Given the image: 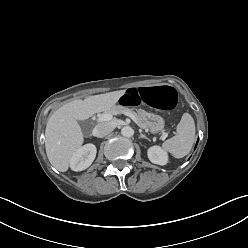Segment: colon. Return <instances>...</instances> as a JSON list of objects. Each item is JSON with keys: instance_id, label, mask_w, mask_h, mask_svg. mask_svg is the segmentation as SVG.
Returning <instances> with one entry per match:
<instances>
[{"instance_id": "colon-1", "label": "colon", "mask_w": 248, "mask_h": 248, "mask_svg": "<svg viewBox=\"0 0 248 248\" xmlns=\"http://www.w3.org/2000/svg\"><path fill=\"white\" fill-rule=\"evenodd\" d=\"M178 102L177 93L174 88L166 85L130 88L121 98V103L124 106L133 104L148 105L163 110L169 111L176 107Z\"/></svg>"}]
</instances>
